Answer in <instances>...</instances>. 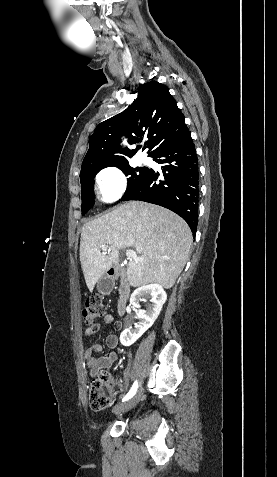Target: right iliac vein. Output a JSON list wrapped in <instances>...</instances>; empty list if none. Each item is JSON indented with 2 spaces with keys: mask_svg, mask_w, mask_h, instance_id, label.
Returning a JSON list of instances; mask_svg holds the SVG:
<instances>
[{
  "mask_svg": "<svg viewBox=\"0 0 277 477\" xmlns=\"http://www.w3.org/2000/svg\"><path fill=\"white\" fill-rule=\"evenodd\" d=\"M142 394H143V390L142 388H140L138 392L134 396H132L129 400H127L124 403L116 405L113 409V412L116 414H121L132 409L133 407L137 405Z\"/></svg>",
  "mask_w": 277,
  "mask_h": 477,
  "instance_id": "right-iliac-vein-1",
  "label": "right iliac vein"
}]
</instances>
